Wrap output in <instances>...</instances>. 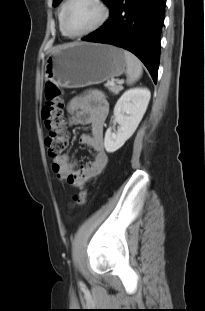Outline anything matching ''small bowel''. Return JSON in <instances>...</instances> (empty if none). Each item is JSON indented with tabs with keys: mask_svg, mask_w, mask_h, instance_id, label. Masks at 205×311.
I'll list each match as a JSON object with an SVG mask.
<instances>
[{
	"mask_svg": "<svg viewBox=\"0 0 205 311\" xmlns=\"http://www.w3.org/2000/svg\"><path fill=\"white\" fill-rule=\"evenodd\" d=\"M68 124L89 125L90 132L80 136L79 142L92 149L91 161L76 169L67 154H61L52 161V170L58 178L69 185L81 187L98 176L108 163V153L103 145L104 126L109 106L104 95L97 90L71 98L67 104Z\"/></svg>",
	"mask_w": 205,
	"mask_h": 311,
	"instance_id": "1",
	"label": "small bowel"
}]
</instances>
